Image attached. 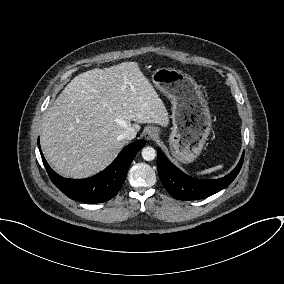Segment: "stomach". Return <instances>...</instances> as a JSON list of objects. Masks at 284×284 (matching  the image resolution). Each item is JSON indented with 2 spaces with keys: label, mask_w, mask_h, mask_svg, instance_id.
Listing matches in <instances>:
<instances>
[{
  "label": "stomach",
  "mask_w": 284,
  "mask_h": 284,
  "mask_svg": "<svg viewBox=\"0 0 284 284\" xmlns=\"http://www.w3.org/2000/svg\"><path fill=\"white\" fill-rule=\"evenodd\" d=\"M152 81L172 103V155L182 163H190L200 155L210 135L208 103L195 80L180 70L159 68L152 74Z\"/></svg>",
  "instance_id": "obj_1"
}]
</instances>
